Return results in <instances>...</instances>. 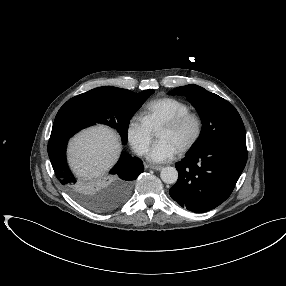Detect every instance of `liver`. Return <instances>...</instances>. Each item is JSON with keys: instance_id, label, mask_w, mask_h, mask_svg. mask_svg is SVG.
<instances>
[{"instance_id": "1", "label": "liver", "mask_w": 286, "mask_h": 286, "mask_svg": "<svg viewBox=\"0 0 286 286\" xmlns=\"http://www.w3.org/2000/svg\"><path fill=\"white\" fill-rule=\"evenodd\" d=\"M120 150L119 137L109 128L97 126L71 139L68 162L76 176L90 180L107 172L117 161Z\"/></svg>"}]
</instances>
